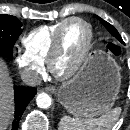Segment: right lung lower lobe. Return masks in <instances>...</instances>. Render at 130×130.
Here are the masks:
<instances>
[{
	"instance_id": "98d812e1",
	"label": "right lung lower lobe",
	"mask_w": 130,
	"mask_h": 130,
	"mask_svg": "<svg viewBox=\"0 0 130 130\" xmlns=\"http://www.w3.org/2000/svg\"><path fill=\"white\" fill-rule=\"evenodd\" d=\"M15 119L11 130H17L21 116L26 109L28 103L36 94V89L33 87L15 86Z\"/></svg>"
}]
</instances>
